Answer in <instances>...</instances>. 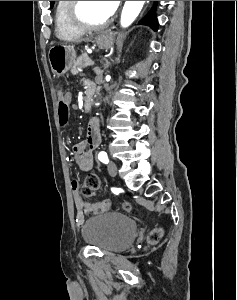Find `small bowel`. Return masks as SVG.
<instances>
[{"mask_svg":"<svg viewBox=\"0 0 237 300\" xmlns=\"http://www.w3.org/2000/svg\"><path fill=\"white\" fill-rule=\"evenodd\" d=\"M86 90L93 89V85L90 82L85 84ZM64 98L68 103L72 100V94L66 92ZM61 99V98H59ZM101 142V133H100V121L98 118H94L90 121L87 127L86 137L84 140L77 142L72 147V154L74 156V161L76 165L82 171H89L93 165L92 153L99 146ZM71 188L74 193L75 203H76V221L78 226H82L85 215L90 212H95L99 210H105L110 206L108 200L97 202L94 204H86L83 202L82 198L79 196V182L73 180L71 182Z\"/></svg>","mask_w":237,"mask_h":300,"instance_id":"c3829d8e","label":"small bowel"}]
</instances>
